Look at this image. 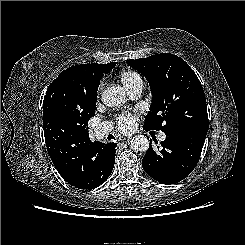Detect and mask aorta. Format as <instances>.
Returning <instances> with one entry per match:
<instances>
[{"mask_svg":"<svg viewBox=\"0 0 245 245\" xmlns=\"http://www.w3.org/2000/svg\"><path fill=\"white\" fill-rule=\"evenodd\" d=\"M125 100V90L121 86H111L102 94V101L108 107L120 106ZM131 149L135 152H144L149 148V141L144 135H136L131 140Z\"/></svg>","mask_w":245,"mask_h":245,"instance_id":"obj_1","label":"aorta"}]
</instances>
